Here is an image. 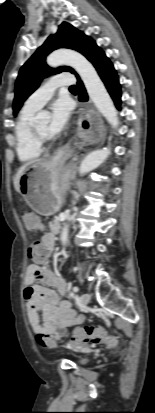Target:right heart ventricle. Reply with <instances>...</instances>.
<instances>
[{"label":"right heart ventricle","instance_id":"1","mask_svg":"<svg viewBox=\"0 0 155 413\" xmlns=\"http://www.w3.org/2000/svg\"><path fill=\"white\" fill-rule=\"evenodd\" d=\"M36 110L24 107L15 125V148L21 162H32L42 153V147L33 139L31 125Z\"/></svg>","mask_w":155,"mask_h":413}]
</instances>
